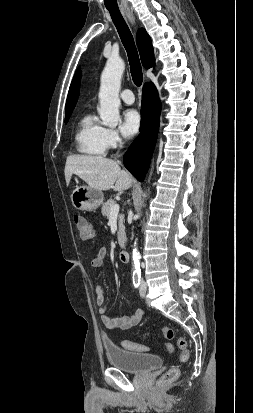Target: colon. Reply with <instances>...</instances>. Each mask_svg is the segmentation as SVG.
<instances>
[{
  "mask_svg": "<svg viewBox=\"0 0 253 413\" xmlns=\"http://www.w3.org/2000/svg\"><path fill=\"white\" fill-rule=\"evenodd\" d=\"M74 222L75 225L77 227V231L79 234V237L84 240V241H89L92 239L93 237V233L91 230L90 225L88 224V222L86 221V219L81 216L76 214L74 216ZM162 334L163 336L169 340H176V345L178 347V349L180 350V359L181 361L185 362L189 359L190 356V352L188 350V345H187V341L185 340V338L183 337H177L175 335V332L172 328L167 327V326H163L161 328ZM122 346L126 349L132 350V351H137V352H145L148 351L149 348L145 345H140V344H136L130 341H123L122 342ZM167 350L168 351H172L173 350V346L172 344H167ZM179 376V369L178 368H171L170 370H168L160 379V383L161 384H168L173 382L177 377Z\"/></svg>",
  "mask_w": 253,
  "mask_h": 413,
  "instance_id": "obj_1",
  "label": "colon"
}]
</instances>
